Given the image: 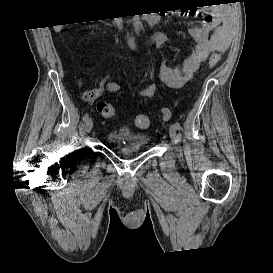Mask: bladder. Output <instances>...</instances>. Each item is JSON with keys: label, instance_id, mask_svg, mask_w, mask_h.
<instances>
[{"label": "bladder", "instance_id": "obj_1", "mask_svg": "<svg viewBox=\"0 0 273 273\" xmlns=\"http://www.w3.org/2000/svg\"><path fill=\"white\" fill-rule=\"evenodd\" d=\"M110 146L120 155H130L143 150L149 143L148 134L135 132L128 126L110 131L106 137Z\"/></svg>", "mask_w": 273, "mask_h": 273}]
</instances>
